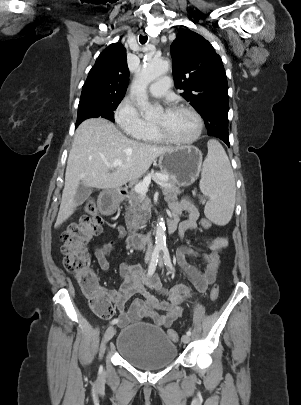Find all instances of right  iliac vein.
Segmentation results:
<instances>
[{
	"label": "right iliac vein",
	"mask_w": 301,
	"mask_h": 405,
	"mask_svg": "<svg viewBox=\"0 0 301 405\" xmlns=\"http://www.w3.org/2000/svg\"><path fill=\"white\" fill-rule=\"evenodd\" d=\"M148 262H149V258H146V263H148ZM115 332H116L115 327L110 326V327L106 330V332H105V334H104V342L107 343L109 340H111L112 337L115 335Z\"/></svg>",
	"instance_id": "right-iliac-vein-1"
}]
</instances>
